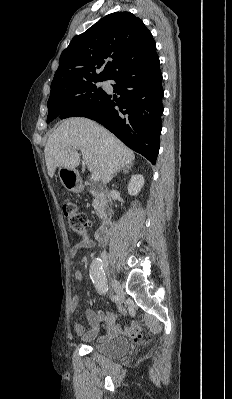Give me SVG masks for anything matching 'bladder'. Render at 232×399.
<instances>
[{"label": "bladder", "mask_w": 232, "mask_h": 399, "mask_svg": "<svg viewBox=\"0 0 232 399\" xmlns=\"http://www.w3.org/2000/svg\"><path fill=\"white\" fill-rule=\"evenodd\" d=\"M92 349L107 359H119L130 350V343L123 337H116L104 343L94 344Z\"/></svg>", "instance_id": "bladder-1"}]
</instances>
